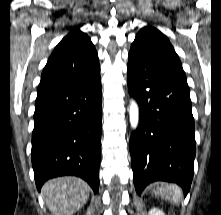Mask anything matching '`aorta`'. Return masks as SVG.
I'll list each match as a JSON object with an SVG mask.
<instances>
[{"label":"aorta","mask_w":221,"mask_h":215,"mask_svg":"<svg viewBox=\"0 0 221 215\" xmlns=\"http://www.w3.org/2000/svg\"><path fill=\"white\" fill-rule=\"evenodd\" d=\"M130 124L133 129H136L139 122V108L134 100H131L129 107Z\"/></svg>","instance_id":"1"}]
</instances>
